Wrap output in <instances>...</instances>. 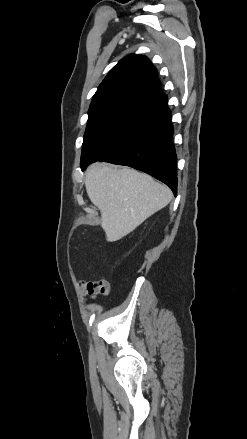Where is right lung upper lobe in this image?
Masks as SVG:
<instances>
[{
    "label": "right lung upper lobe",
    "instance_id": "cb5924a9",
    "mask_svg": "<svg viewBox=\"0 0 247 439\" xmlns=\"http://www.w3.org/2000/svg\"><path fill=\"white\" fill-rule=\"evenodd\" d=\"M157 71L149 59L130 54L108 73L92 98L90 109L107 103L123 102L156 113L167 105Z\"/></svg>",
    "mask_w": 247,
    "mask_h": 439
}]
</instances>
